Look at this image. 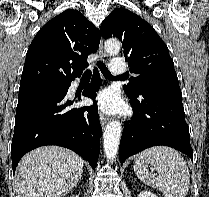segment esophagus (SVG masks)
Instances as JSON below:
<instances>
[{
	"label": "esophagus",
	"instance_id": "34e87169",
	"mask_svg": "<svg viewBox=\"0 0 209 197\" xmlns=\"http://www.w3.org/2000/svg\"><path fill=\"white\" fill-rule=\"evenodd\" d=\"M99 54L101 55V59L103 62H108L109 57L106 54L105 50H104V45H103V40L101 39L100 44H99ZM108 117H106L103 114H100V123L101 125L104 127L105 124L108 122Z\"/></svg>",
	"mask_w": 209,
	"mask_h": 197
}]
</instances>
